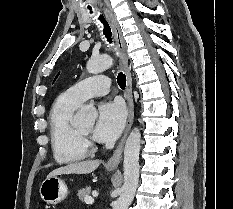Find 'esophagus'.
I'll list each match as a JSON object with an SVG mask.
<instances>
[{"mask_svg":"<svg viewBox=\"0 0 233 209\" xmlns=\"http://www.w3.org/2000/svg\"><path fill=\"white\" fill-rule=\"evenodd\" d=\"M104 13L113 31L116 49L120 57V66L126 75L125 99L127 101V106H128V119H127L126 129L112 157L107 162L108 167L115 168L120 163V160L122 158L124 143H125V140L128 136V133L134 121V103H133V95H132V77H131V71L128 65V55H127L126 44L122 36L120 26L116 20V17L112 13V11H110L107 8H104Z\"/></svg>","mask_w":233,"mask_h":209,"instance_id":"obj_1","label":"esophagus"}]
</instances>
